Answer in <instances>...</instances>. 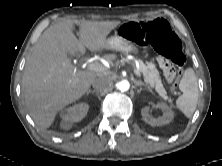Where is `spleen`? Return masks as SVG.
<instances>
[{
	"label": "spleen",
	"mask_w": 222,
	"mask_h": 166,
	"mask_svg": "<svg viewBox=\"0 0 222 166\" xmlns=\"http://www.w3.org/2000/svg\"><path fill=\"white\" fill-rule=\"evenodd\" d=\"M179 89L183 94L176 100V106L187 118H190L196 110L199 96L197 77L192 68L184 71Z\"/></svg>",
	"instance_id": "1"
}]
</instances>
